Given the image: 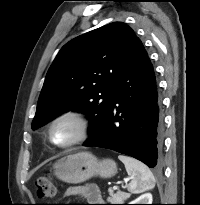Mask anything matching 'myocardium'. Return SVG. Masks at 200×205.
<instances>
[{
    "mask_svg": "<svg viewBox=\"0 0 200 205\" xmlns=\"http://www.w3.org/2000/svg\"><path fill=\"white\" fill-rule=\"evenodd\" d=\"M71 122L75 125V136L65 143H57L53 138V131L57 124L61 122ZM90 123L86 115L80 111L68 110L57 115L49 124L47 137L49 142L55 147L66 149L73 147L81 142L85 141L89 135Z\"/></svg>",
    "mask_w": 200,
    "mask_h": 205,
    "instance_id": "obj_1",
    "label": "myocardium"
}]
</instances>
